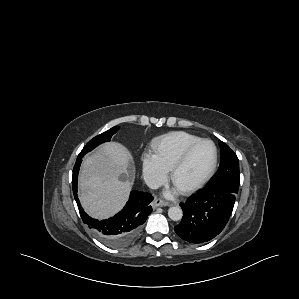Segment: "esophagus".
<instances>
[{
    "instance_id": "34e87169",
    "label": "esophagus",
    "mask_w": 299,
    "mask_h": 299,
    "mask_svg": "<svg viewBox=\"0 0 299 299\" xmlns=\"http://www.w3.org/2000/svg\"><path fill=\"white\" fill-rule=\"evenodd\" d=\"M152 205H153V207H165V206H169V203L160 198H156L153 201Z\"/></svg>"
}]
</instances>
